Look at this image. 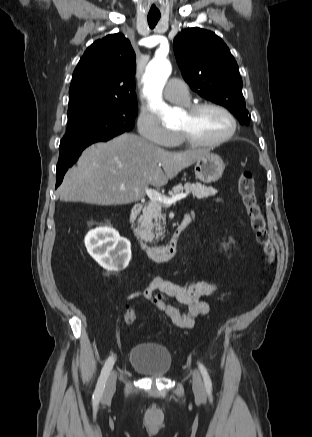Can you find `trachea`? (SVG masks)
Instances as JSON below:
<instances>
[{"label": "trachea", "instance_id": "1", "mask_svg": "<svg viewBox=\"0 0 312 437\" xmlns=\"http://www.w3.org/2000/svg\"><path fill=\"white\" fill-rule=\"evenodd\" d=\"M160 19V14H149L147 16L148 24L151 29H153Z\"/></svg>", "mask_w": 312, "mask_h": 437}]
</instances>
